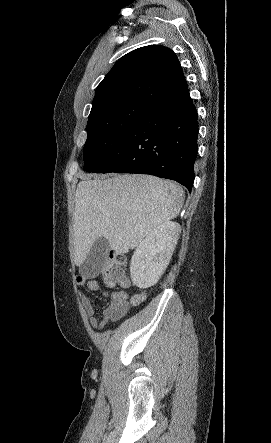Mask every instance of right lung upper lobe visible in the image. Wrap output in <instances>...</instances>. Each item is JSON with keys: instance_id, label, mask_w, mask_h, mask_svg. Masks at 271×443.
Segmentation results:
<instances>
[{"instance_id": "cb5924a9", "label": "right lung upper lobe", "mask_w": 271, "mask_h": 443, "mask_svg": "<svg viewBox=\"0 0 271 443\" xmlns=\"http://www.w3.org/2000/svg\"><path fill=\"white\" fill-rule=\"evenodd\" d=\"M187 90L176 54L164 46H145L115 63L98 85L91 111L101 104L123 99L154 103Z\"/></svg>"}]
</instances>
